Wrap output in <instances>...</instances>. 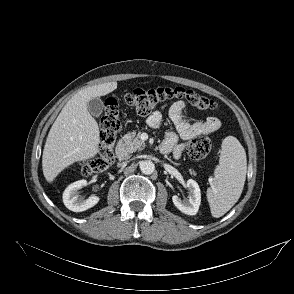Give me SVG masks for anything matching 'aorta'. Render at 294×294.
Segmentation results:
<instances>
[{
	"instance_id": "aorta-1",
	"label": "aorta",
	"mask_w": 294,
	"mask_h": 294,
	"mask_svg": "<svg viewBox=\"0 0 294 294\" xmlns=\"http://www.w3.org/2000/svg\"><path fill=\"white\" fill-rule=\"evenodd\" d=\"M140 170L145 175H150L155 170V165L150 160H145L140 163Z\"/></svg>"
}]
</instances>
